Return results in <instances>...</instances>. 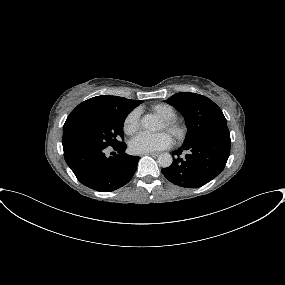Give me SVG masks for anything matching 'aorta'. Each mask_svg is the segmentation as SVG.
<instances>
[{
  "label": "aorta",
  "instance_id": "obj_1",
  "mask_svg": "<svg viewBox=\"0 0 285 285\" xmlns=\"http://www.w3.org/2000/svg\"><path fill=\"white\" fill-rule=\"evenodd\" d=\"M141 124H142V127L148 131H155L157 129L156 122L150 117L143 118L141 121ZM172 162H173V158L167 152L161 153L158 156V164L163 168L169 167L172 164Z\"/></svg>",
  "mask_w": 285,
  "mask_h": 285
}]
</instances>
